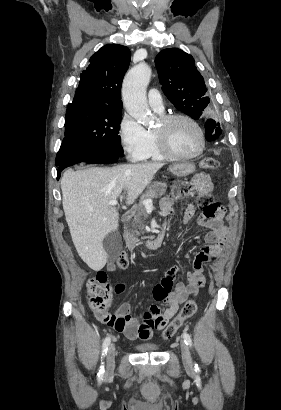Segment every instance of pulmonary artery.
Returning <instances> with one entry per match:
<instances>
[{
    "instance_id": "pulmonary-artery-1",
    "label": "pulmonary artery",
    "mask_w": 281,
    "mask_h": 410,
    "mask_svg": "<svg viewBox=\"0 0 281 410\" xmlns=\"http://www.w3.org/2000/svg\"><path fill=\"white\" fill-rule=\"evenodd\" d=\"M148 102L153 110L158 113H163L164 104L159 90L152 88L148 91Z\"/></svg>"
}]
</instances>
